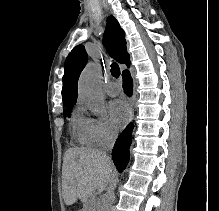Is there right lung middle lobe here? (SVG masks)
<instances>
[{
    "label": "right lung middle lobe",
    "mask_w": 219,
    "mask_h": 211,
    "mask_svg": "<svg viewBox=\"0 0 219 211\" xmlns=\"http://www.w3.org/2000/svg\"><path fill=\"white\" fill-rule=\"evenodd\" d=\"M74 104L75 103H71V104H65L64 105V110H63V114H64V116L66 117H70V112H71V110H72V108H73V106H74Z\"/></svg>",
    "instance_id": "1"
}]
</instances>
